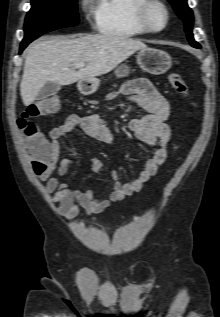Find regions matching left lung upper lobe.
<instances>
[{"label": "left lung upper lobe", "instance_id": "1", "mask_svg": "<svg viewBox=\"0 0 220 317\" xmlns=\"http://www.w3.org/2000/svg\"><path fill=\"white\" fill-rule=\"evenodd\" d=\"M177 15L183 20L185 31L187 33L188 40L193 47L200 46L199 43L194 41L193 33H192V25H193V12L187 5V0H168ZM201 48V46H200Z\"/></svg>", "mask_w": 220, "mask_h": 317}]
</instances>
